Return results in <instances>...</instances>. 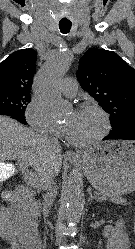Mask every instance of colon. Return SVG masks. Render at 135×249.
<instances>
[{
  "instance_id": "1",
  "label": "colon",
  "mask_w": 135,
  "mask_h": 249,
  "mask_svg": "<svg viewBox=\"0 0 135 249\" xmlns=\"http://www.w3.org/2000/svg\"><path fill=\"white\" fill-rule=\"evenodd\" d=\"M133 231H134V233H135V225H134V227H133Z\"/></svg>"
}]
</instances>
